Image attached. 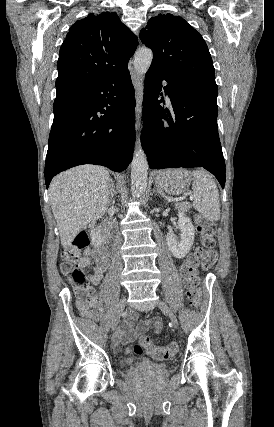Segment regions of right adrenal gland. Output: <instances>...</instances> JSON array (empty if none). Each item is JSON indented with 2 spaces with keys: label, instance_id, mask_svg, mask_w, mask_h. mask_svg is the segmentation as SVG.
<instances>
[{
  "label": "right adrenal gland",
  "instance_id": "1",
  "mask_svg": "<svg viewBox=\"0 0 274 427\" xmlns=\"http://www.w3.org/2000/svg\"><path fill=\"white\" fill-rule=\"evenodd\" d=\"M111 184H112V188H111V192H110L109 202H114V196H115V194H117V192L115 190V186H114L113 182H111Z\"/></svg>",
  "mask_w": 274,
  "mask_h": 427
}]
</instances>
